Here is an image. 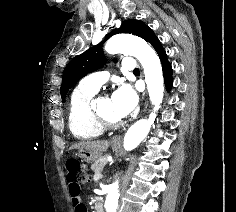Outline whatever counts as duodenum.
I'll return each instance as SVG.
<instances>
[{
	"label": "duodenum",
	"instance_id": "duodenum-1",
	"mask_svg": "<svg viewBox=\"0 0 236 212\" xmlns=\"http://www.w3.org/2000/svg\"><path fill=\"white\" fill-rule=\"evenodd\" d=\"M94 204H95V210L96 212H104L103 209V200L101 197L96 196L94 199Z\"/></svg>",
	"mask_w": 236,
	"mask_h": 212
}]
</instances>
